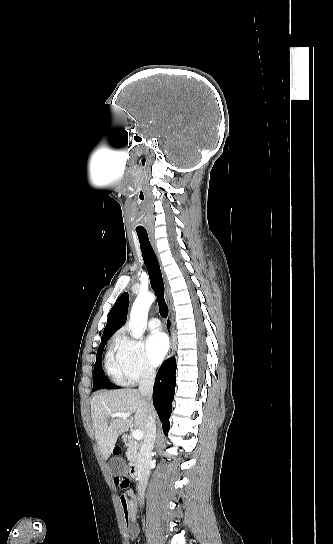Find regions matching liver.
<instances>
[{
  "label": "liver",
  "instance_id": "6515ba94",
  "mask_svg": "<svg viewBox=\"0 0 333 544\" xmlns=\"http://www.w3.org/2000/svg\"><path fill=\"white\" fill-rule=\"evenodd\" d=\"M149 410L150 406L146 398L132 388L106 391L93 396L92 422L97 443L105 460L110 457L118 437L133 423L137 429L145 433ZM120 412L134 414V416L116 417L109 422L112 413Z\"/></svg>",
  "mask_w": 333,
  "mask_h": 544
}]
</instances>
